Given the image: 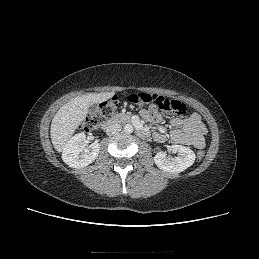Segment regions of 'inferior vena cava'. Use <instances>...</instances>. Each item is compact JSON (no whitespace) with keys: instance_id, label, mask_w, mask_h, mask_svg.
I'll list each match as a JSON object with an SVG mask.
<instances>
[{"instance_id":"602c4592","label":"inferior vena cava","mask_w":259,"mask_h":259,"mask_svg":"<svg viewBox=\"0 0 259 259\" xmlns=\"http://www.w3.org/2000/svg\"><path fill=\"white\" fill-rule=\"evenodd\" d=\"M121 129L122 126L119 123L112 122L106 127V134L112 136L119 133Z\"/></svg>"}]
</instances>
